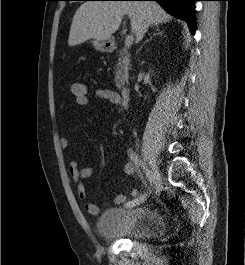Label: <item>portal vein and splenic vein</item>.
<instances>
[{"instance_id":"portal-vein-and-splenic-vein-1","label":"portal vein and splenic vein","mask_w":245,"mask_h":265,"mask_svg":"<svg viewBox=\"0 0 245 265\" xmlns=\"http://www.w3.org/2000/svg\"><path fill=\"white\" fill-rule=\"evenodd\" d=\"M134 41V37L132 35H128L125 39V46L127 48L131 47V45L133 44Z\"/></svg>"}]
</instances>
